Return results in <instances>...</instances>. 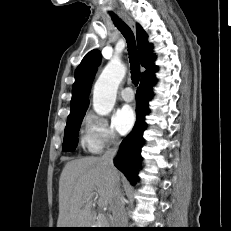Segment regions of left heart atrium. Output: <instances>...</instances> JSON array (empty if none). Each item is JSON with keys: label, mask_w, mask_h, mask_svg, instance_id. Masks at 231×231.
Instances as JSON below:
<instances>
[{"label": "left heart atrium", "mask_w": 231, "mask_h": 231, "mask_svg": "<svg viewBox=\"0 0 231 231\" xmlns=\"http://www.w3.org/2000/svg\"><path fill=\"white\" fill-rule=\"evenodd\" d=\"M134 122V111L128 105L120 108L114 115V126L120 134L128 133L132 129Z\"/></svg>", "instance_id": "39dd6f15"}]
</instances>
